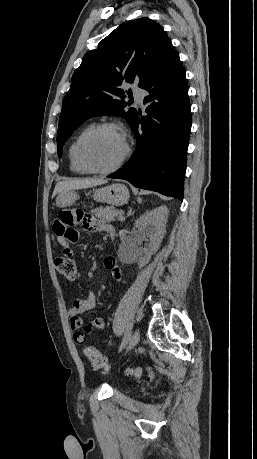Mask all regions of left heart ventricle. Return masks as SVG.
I'll list each match as a JSON object with an SVG mask.
<instances>
[{
  "instance_id": "obj_1",
  "label": "left heart ventricle",
  "mask_w": 257,
  "mask_h": 459,
  "mask_svg": "<svg viewBox=\"0 0 257 459\" xmlns=\"http://www.w3.org/2000/svg\"><path fill=\"white\" fill-rule=\"evenodd\" d=\"M125 150L121 133L103 129L93 134L82 147V157L91 166L107 168L114 165Z\"/></svg>"
}]
</instances>
